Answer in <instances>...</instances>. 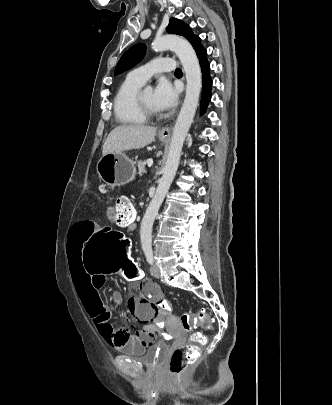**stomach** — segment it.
<instances>
[{
	"label": "stomach",
	"mask_w": 332,
	"mask_h": 405,
	"mask_svg": "<svg viewBox=\"0 0 332 405\" xmlns=\"http://www.w3.org/2000/svg\"><path fill=\"white\" fill-rule=\"evenodd\" d=\"M161 142L167 137L159 136ZM101 180L108 185H123L135 179V162L123 152H113L102 156L96 166Z\"/></svg>",
	"instance_id": "1"
}]
</instances>
